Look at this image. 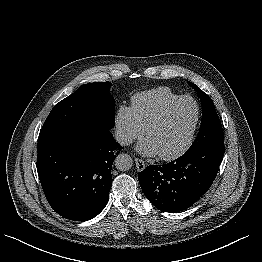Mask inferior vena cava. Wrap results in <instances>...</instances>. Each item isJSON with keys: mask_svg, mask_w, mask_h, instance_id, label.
<instances>
[{"mask_svg": "<svg viewBox=\"0 0 262 262\" xmlns=\"http://www.w3.org/2000/svg\"><path fill=\"white\" fill-rule=\"evenodd\" d=\"M115 139L119 144L123 146L130 145L133 142V139L130 135L120 131L115 132Z\"/></svg>", "mask_w": 262, "mask_h": 262, "instance_id": "inferior-vena-cava-1", "label": "inferior vena cava"}]
</instances>
